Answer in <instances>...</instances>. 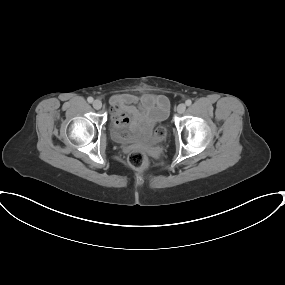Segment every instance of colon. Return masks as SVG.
<instances>
[{
  "mask_svg": "<svg viewBox=\"0 0 285 285\" xmlns=\"http://www.w3.org/2000/svg\"><path fill=\"white\" fill-rule=\"evenodd\" d=\"M166 134V130L162 126H158L155 129V135L159 138H163ZM128 163L129 165L137 170L144 169L148 166L149 160L147 155L139 150L131 151L128 155Z\"/></svg>",
  "mask_w": 285,
  "mask_h": 285,
  "instance_id": "colon-1",
  "label": "colon"
}]
</instances>
